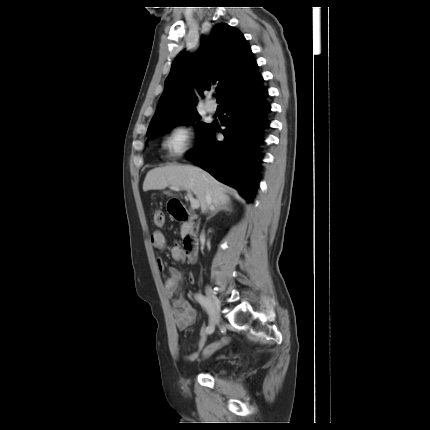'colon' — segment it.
Returning <instances> with one entry per match:
<instances>
[{
	"mask_svg": "<svg viewBox=\"0 0 430 430\" xmlns=\"http://www.w3.org/2000/svg\"><path fill=\"white\" fill-rule=\"evenodd\" d=\"M164 213L160 210H157L154 214V223L157 226H162L164 224ZM229 341L228 338H223L219 341L213 342L211 344H209L206 349L203 352V357L207 358L209 357L214 351H216L219 347L227 344Z\"/></svg>",
	"mask_w": 430,
	"mask_h": 430,
	"instance_id": "5ec220e1",
	"label": "colon"
}]
</instances>
